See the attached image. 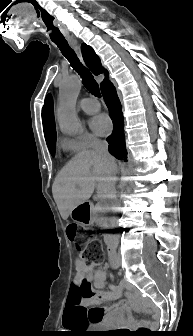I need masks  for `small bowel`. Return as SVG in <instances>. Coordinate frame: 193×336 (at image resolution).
Listing matches in <instances>:
<instances>
[{"label": "small bowel", "instance_id": "small-bowel-1", "mask_svg": "<svg viewBox=\"0 0 193 336\" xmlns=\"http://www.w3.org/2000/svg\"><path fill=\"white\" fill-rule=\"evenodd\" d=\"M76 272L71 282L68 292L67 309L63 320L66 327L76 323L84 326L104 325L112 326L120 324L119 313L128 311V306L134 299L131 294H127L125 299L117 300L125 290V283L118 286L106 284V272L98 268L94 263H87L82 258L75 260ZM88 286L96 289L92 297L85 298L82 291ZM115 301L108 306L101 307L104 302Z\"/></svg>", "mask_w": 193, "mask_h": 336}]
</instances>
